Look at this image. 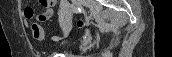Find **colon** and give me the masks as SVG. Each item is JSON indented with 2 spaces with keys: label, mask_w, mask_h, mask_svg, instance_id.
Masks as SVG:
<instances>
[{
  "label": "colon",
  "mask_w": 172,
  "mask_h": 57,
  "mask_svg": "<svg viewBox=\"0 0 172 57\" xmlns=\"http://www.w3.org/2000/svg\"><path fill=\"white\" fill-rule=\"evenodd\" d=\"M25 11H26V13L29 14V15L32 14V7H31V6H28V7L25 9ZM76 25H77L78 28H82V27H84V26L87 25V22L80 19V20H78V21L76 22ZM31 34H32V37H33L34 39H36V40H38V39H40V38L42 37L43 31H42L41 27L39 26V24L33 23V24L31 25Z\"/></svg>",
  "instance_id": "1"
}]
</instances>
